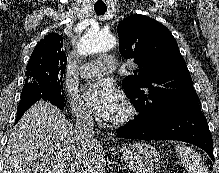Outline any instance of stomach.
Listing matches in <instances>:
<instances>
[{"instance_id": "0dacf381", "label": "stomach", "mask_w": 219, "mask_h": 173, "mask_svg": "<svg viewBox=\"0 0 219 173\" xmlns=\"http://www.w3.org/2000/svg\"><path fill=\"white\" fill-rule=\"evenodd\" d=\"M122 154L125 164L134 173H154L161 162L160 153L145 142H135L124 146Z\"/></svg>"}]
</instances>
